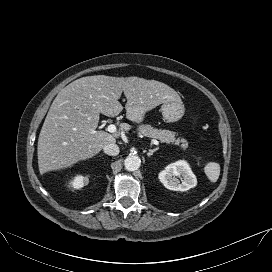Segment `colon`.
<instances>
[{
  "instance_id": "colon-1",
  "label": "colon",
  "mask_w": 272,
  "mask_h": 272,
  "mask_svg": "<svg viewBox=\"0 0 272 272\" xmlns=\"http://www.w3.org/2000/svg\"><path fill=\"white\" fill-rule=\"evenodd\" d=\"M192 121L196 122V117L195 116L192 117Z\"/></svg>"
}]
</instances>
